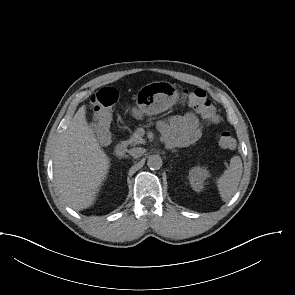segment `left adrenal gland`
Instances as JSON below:
<instances>
[{
	"instance_id": "left-adrenal-gland-1",
	"label": "left adrenal gland",
	"mask_w": 295,
	"mask_h": 295,
	"mask_svg": "<svg viewBox=\"0 0 295 295\" xmlns=\"http://www.w3.org/2000/svg\"><path fill=\"white\" fill-rule=\"evenodd\" d=\"M172 152H176V150H172Z\"/></svg>"
}]
</instances>
